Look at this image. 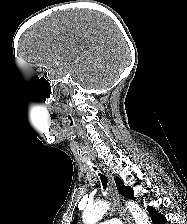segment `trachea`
Here are the masks:
<instances>
[{
	"instance_id": "trachea-1",
	"label": "trachea",
	"mask_w": 187,
	"mask_h": 224,
	"mask_svg": "<svg viewBox=\"0 0 187 224\" xmlns=\"http://www.w3.org/2000/svg\"><path fill=\"white\" fill-rule=\"evenodd\" d=\"M94 169L97 170L96 168H94ZM99 176H100V179H101V182H102L103 189L106 190L108 180H107L106 176H104L101 173H99Z\"/></svg>"
}]
</instances>
